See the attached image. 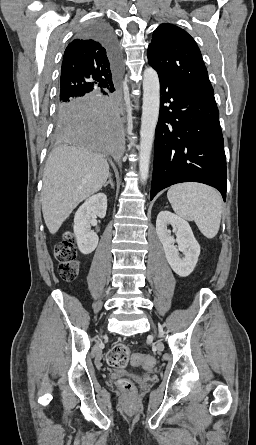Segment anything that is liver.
<instances>
[{
    "mask_svg": "<svg viewBox=\"0 0 256 445\" xmlns=\"http://www.w3.org/2000/svg\"><path fill=\"white\" fill-rule=\"evenodd\" d=\"M109 176V164L81 147L60 145L50 153L43 174L42 213L55 234L77 205L98 192Z\"/></svg>",
    "mask_w": 256,
    "mask_h": 445,
    "instance_id": "liver-1",
    "label": "liver"
}]
</instances>
